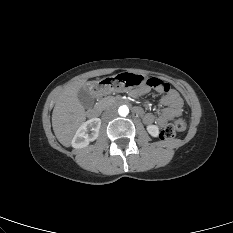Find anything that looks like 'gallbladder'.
Instances as JSON below:
<instances>
[{"label": "gallbladder", "mask_w": 233, "mask_h": 233, "mask_svg": "<svg viewBox=\"0 0 233 233\" xmlns=\"http://www.w3.org/2000/svg\"><path fill=\"white\" fill-rule=\"evenodd\" d=\"M78 100L84 108L89 109L94 105V96L88 91L87 88H81L77 93Z\"/></svg>", "instance_id": "bac80fb5"}]
</instances>
